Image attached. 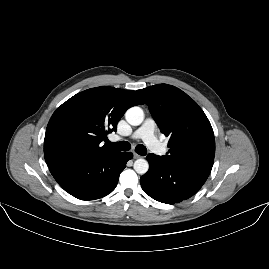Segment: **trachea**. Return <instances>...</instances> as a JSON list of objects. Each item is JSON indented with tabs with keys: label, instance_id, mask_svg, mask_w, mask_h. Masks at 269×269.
I'll return each instance as SVG.
<instances>
[{
	"label": "trachea",
	"instance_id": "3493384b",
	"mask_svg": "<svg viewBox=\"0 0 269 269\" xmlns=\"http://www.w3.org/2000/svg\"><path fill=\"white\" fill-rule=\"evenodd\" d=\"M106 145L114 148L115 150L119 151H128L130 149V143L126 141H120V142H115L112 143L110 141H106ZM135 152L141 156H145L147 154V149L144 145L139 144L135 148Z\"/></svg>",
	"mask_w": 269,
	"mask_h": 269
}]
</instances>
